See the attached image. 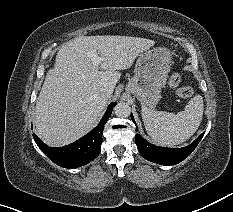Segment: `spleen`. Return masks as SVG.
I'll list each match as a JSON object with an SVG mask.
<instances>
[{
    "label": "spleen",
    "instance_id": "spleen-1",
    "mask_svg": "<svg viewBox=\"0 0 233 212\" xmlns=\"http://www.w3.org/2000/svg\"><path fill=\"white\" fill-rule=\"evenodd\" d=\"M203 98L194 96L177 114L155 111L142 106V119L148 135L164 146L179 145L188 140L199 128L203 117Z\"/></svg>",
    "mask_w": 233,
    "mask_h": 212
}]
</instances>
